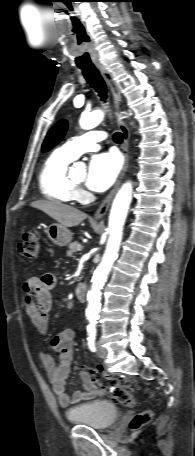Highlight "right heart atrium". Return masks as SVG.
<instances>
[{"label":"right heart atrium","instance_id":"obj_1","mask_svg":"<svg viewBox=\"0 0 195 456\" xmlns=\"http://www.w3.org/2000/svg\"><path fill=\"white\" fill-rule=\"evenodd\" d=\"M76 193H77V196H78V197H82V196H83V191L80 190V189H77V190H76Z\"/></svg>","mask_w":195,"mask_h":456}]
</instances>
